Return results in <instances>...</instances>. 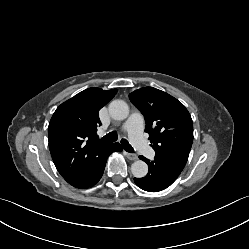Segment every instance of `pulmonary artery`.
Masks as SVG:
<instances>
[{"label": "pulmonary artery", "mask_w": 249, "mask_h": 249, "mask_svg": "<svg viewBox=\"0 0 249 249\" xmlns=\"http://www.w3.org/2000/svg\"><path fill=\"white\" fill-rule=\"evenodd\" d=\"M144 119L140 113H132L123 125V130L128 133V137L134 147L151 158L154 156V150L149 146L143 134Z\"/></svg>", "instance_id": "1"}]
</instances>
